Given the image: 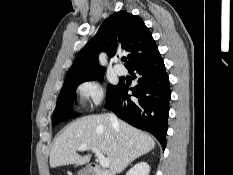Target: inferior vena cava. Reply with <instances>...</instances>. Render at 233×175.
<instances>
[{
  "label": "inferior vena cava",
  "instance_id": "1",
  "mask_svg": "<svg viewBox=\"0 0 233 175\" xmlns=\"http://www.w3.org/2000/svg\"><path fill=\"white\" fill-rule=\"evenodd\" d=\"M109 118H110V121L113 125H116L118 124V120H117V117L114 115V114H110L109 115Z\"/></svg>",
  "mask_w": 233,
  "mask_h": 175
}]
</instances>
